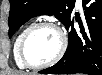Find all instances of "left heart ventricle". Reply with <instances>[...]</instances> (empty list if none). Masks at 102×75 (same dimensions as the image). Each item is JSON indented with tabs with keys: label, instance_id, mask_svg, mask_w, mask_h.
<instances>
[{
	"label": "left heart ventricle",
	"instance_id": "left-heart-ventricle-1",
	"mask_svg": "<svg viewBox=\"0 0 102 75\" xmlns=\"http://www.w3.org/2000/svg\"><path fill=\"white\" fill-rule=\"evenodd\" d=\"M60 45L58 33L53 28L42 27L28 40L26 53L32 62H48L56 56Z\"/></svg>",
	"mask_w": 102,
	"mask_h": 75
}]
</instances>
